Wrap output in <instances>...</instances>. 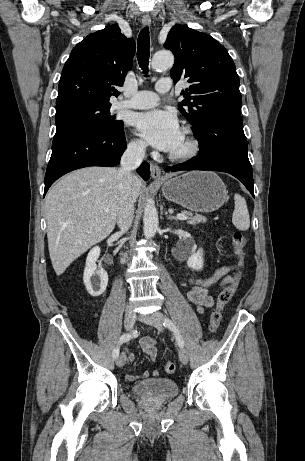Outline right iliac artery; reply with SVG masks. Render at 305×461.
Masks as SVG:
<instances>
[{
  "mask_svg": "<svg viewBox=\"0 0 305 461\" xmlns=\"http://www.w3.org/2000/svg\"><path fill=\"white\" fill-rule=\"evenodd\" d=\"M136 334H137V331H133V333H125L119 338L118 345L114 348L113 353H112L114 358H117L119 356V352H120L119 345L129 341Z\"/></svg>",
  "mask_w": 305,
  "mask_h": 461,
  "instance_id": "1",
  "label": "right iliac artery"
}]
</instances>
